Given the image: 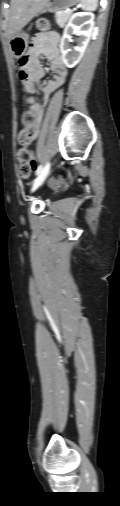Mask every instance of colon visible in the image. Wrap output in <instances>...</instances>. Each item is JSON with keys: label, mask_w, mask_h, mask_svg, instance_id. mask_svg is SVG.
<instances>
[{"label": "colon", "mask_w": 120, "mask_h": 506, "mask_svg": "<svg viewBox=\"0 0 120 506\" xmlns=\"http://www.w3.org/2000/svg\"><path fill=\"white\" fill-rule=\"evenodd\" d=\"M37 26L40 30H47L49 27V23L41 19L38 21ZM19 69H20V77L22 79L25 78V73L27 70V58L23 57L19 61ZM28 102H31L29 99ZM35 122V115L32 111L27 110L22 115V123L23 129L20 130L18 134V142L20 144V149L17 152V159L19 162L18 173L22 178H27L30 176L32 170L35 168L36 162L32 152L28 149V146L31 144L33 140V132L32 126ZM59 181H54L53 185H57Z\"/></svg>", "instance_id": "colon-1"}]
</instances>
